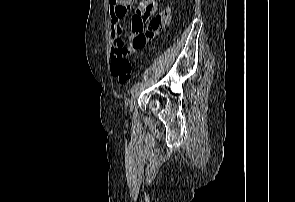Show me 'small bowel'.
Masks as SVG:
<instances>
[{"mask_svg":"<svg viewBox=\"0 0 295 202\" xmlns=\"http://www.w3.org/2000/svg\"><path fill=\"white\" fill-rule=\"evenodd\" d=\"M133 1L109 0L112 58L117 50L126 48L132 53L143 48L170 18L169 7L157 11L155 0H140L136 13L131 18L132 34L129 45L126 46L121 38L123 32L121 21L132 7Z\"/></svg>","mask_w":295,"mask_h":202,"instance_id":"small-bowel-1","label":"small bowel"}]
</instances>
